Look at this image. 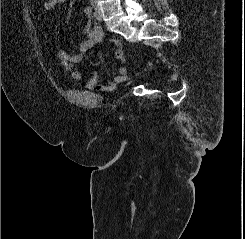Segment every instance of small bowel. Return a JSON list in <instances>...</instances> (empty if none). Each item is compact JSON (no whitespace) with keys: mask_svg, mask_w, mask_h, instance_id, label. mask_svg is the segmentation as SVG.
<instances>
[{"mask_svg":"<svg viewBox=\"0 0 245 239\" xmlns=\"http://www.w3.org/2000/svg\"><path fill=\"white\" fill-rule=\"evenodd\" d=\"M66 0H47L44 3L46 10H53L56 7L64 4ZM86 14L89 17V22L84 29L85 40L78 45V49L73 54H68L64 50L58 51V58L61 62L62 68L67 71L72 80L81 81L83 79V73L75 65L80 63L84 55L90 51L93 47L99 44L103 38V32L101 27L91 20L90 10L87 9ZM111 43L114 45V57L117 60H124V51L120 46V43L113 39ZM128 69L125 64H120L117 68L116 76L105 84L98 83V73L94 71L91 77L85 82V87L90 90H98L104 93L112 92L116 87L127 80Z\"/></svg>","mask_w":245,"mask_h":239,"instance_id":"c3829d8e","label":"small bowel"}]
</instances>
